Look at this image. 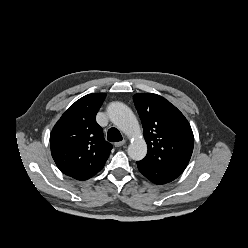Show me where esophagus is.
Listing matches in <instances>:
<instances>
[{
	"mask_svg": "<svg viewBox=\"0 0 248 248\" xmlns=\"http://www.w3.org/2000/svg\"><path fill=\"white\" fill-rule=\"evenodd\" d=\"M125 142H126L125 140L119 141V142H116L114 145H115V147H121L125 144Z\"/></svg>",
	"mask_w": 248,
	"mask_h": 248,
	"instance_id": "esophagus-1",
	"label": "esophagus"
}]
</instances>
